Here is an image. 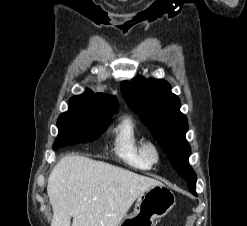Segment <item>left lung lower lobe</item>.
Masks as SVG:
<instances>
[{
    "instance_id": "0a47b994",
    "label": "left lung lower lobe",
    "mask_w": 247,
    "mask_h": 226,
    "mask_svg": "<svg viewBox=\"0 0 247 226\" xmlns=\"http://www.w3.org/2000/svg\"><path fill=\"white\" fill-rule=\"evenodd\" d=\"M187 178H189L191 180L190 182L187 183L190 192L192 194H194L195 196H197V194L195 192V185H196L197 178H196V174L194 173L193 170L187 172Z\"/></svg>"
}]
</instances>
